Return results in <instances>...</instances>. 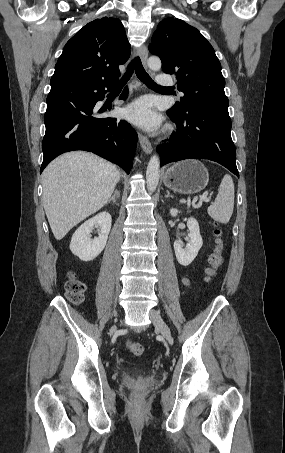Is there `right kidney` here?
<instances>
[{
	"label": "right kidney",
	"mask_w": 285,
	"mask_h": 453,
	"mask_svg": "<svg viewBox=\"0 0 285 453\" xmlns=\"http://www.w3.org/2000/svg\"><path fill=\"white\" fill-rule=\"evenodd\" d=\"M111 215L101 212L85 221L73 234L70 243L71 252L82 261L95 259L105 248L109 232L111 230ZM94 226L99 227V236L90 238Z\"/></svg>",
	"instance_id": "ca27d5eb"
}]
</instances>
